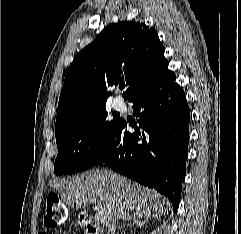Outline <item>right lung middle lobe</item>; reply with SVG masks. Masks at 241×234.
<instances>
[{
  "label": "right lung middle lobe",
  "instance_id": "1",
  "mask_svg": "<svg viewBox=\"0 0 241 234\" xmlns=\"http://www.w3.org/2000/svg\"><path fill=\"white\" fill-rule=\"evenodd\" d=\"M105 106L84 120L56 131L58 155L54 173L63 175L93 167L106 150L119 118L107 119Z\"/></svg>",
  "mask_w": 241,
  "mask_h": 234
}]
</instances>
